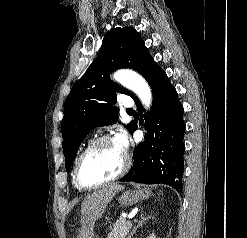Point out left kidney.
<instances>
[{"mask_svg": "<svg viewBox=\"0 0 247 238\" xmlns=\"http://www.w3.org/2000/svg\"><path fill=\"white\" fill-rule=\"evenodd\" d=\"M148 238H155V235L152 234V235H150Z\"/></svg>", "mask_w": 247, "mask_h": 238, "instance_id": "obj_1", "label": "left kidney"}]
</instances>
